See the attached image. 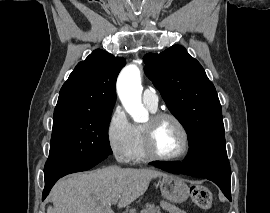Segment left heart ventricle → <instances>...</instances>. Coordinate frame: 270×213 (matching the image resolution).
Wrapping results in <instances>:
<instances>
[{
	"label": "left heart ventricle",
	"mask_w": 270,
	"mask_h": 213,
	"mask_svg": "<svg viewBox=\"0 0 270 213\" xmlns=\"http://www.w3.org/2000/svg\"><path fill=\"white\" fill-rule=\"evenodd\" d=\"M149 123V119L144 125ZM183 136L177 125L170 119H164L157 124L153 134L155 150L164 156L178 154L183 148Z\"/></svg>",
	"instance_id": "left-heart-ventricle-1"
}]
</instances>
